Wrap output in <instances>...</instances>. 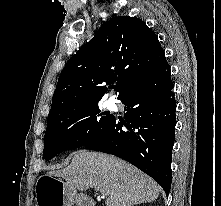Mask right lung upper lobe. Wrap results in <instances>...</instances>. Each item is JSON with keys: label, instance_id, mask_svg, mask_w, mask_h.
I'll return each instance as SVG.
<instances>
[{"label": "right lung upper lobe", "instance_id": "obj_1", "mask_svg": "<svg viewBox=\"0 0 221 206\" xmlns=\"http://www.w3.org/2000/svg\"><path fill=\"white\" fill-rule=\"evenodd\" d=\"M166 62L157 35L143 21L129 16L113 18L66 63L49 115L98 103L107 90L104 84L115 83L119 99Z\"/></svg>", "mask_w": 221, "mask_h": 206}]
</instances>
